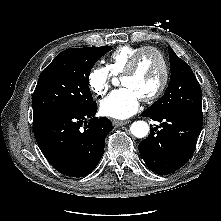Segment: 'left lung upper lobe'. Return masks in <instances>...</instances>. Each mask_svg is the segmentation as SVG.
Instances as JSON below:
<instances>
[{
	"label": "left lung upper lobe",
	"instance_id": "1",
	"mask_svg": "<svg viewBox=\"0 0 221 221\" xmlns=\"http://www.w3.org/2000/svg\"><path fill=\"white\" fill-rule=\"evenodd\" d=\"M171 77L165 94L146 111L154 114L202 112V92L187 63L169 47Z\"/></svg>",
	"mask_w": 221,
	"mask_h": 221
}]
</instances>
